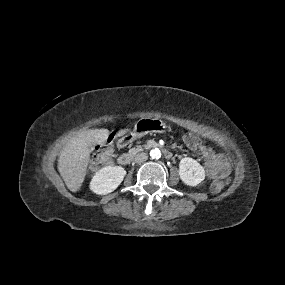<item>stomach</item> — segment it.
Here are the masks:
<instances>
[{
    "mask_svg": "<svg viewBox=\"0 0 285 285\" xmlns=\"http://www.w3.org/2000/svg\"><path fill=\"white\" fill-rule=\"evenodd\" d=\"M156 124V120L154 119H141L137 122L134 129V137H140L150 132H156L155 129L152 128ZM162 126V123H158Z\"/></svg>",
    "mask_w": 285,
    "mask_h": 285,
    "instance_id": "obj_1",
    "label": "stomach"
}]
</instances>
